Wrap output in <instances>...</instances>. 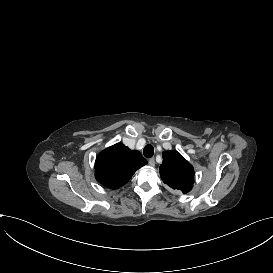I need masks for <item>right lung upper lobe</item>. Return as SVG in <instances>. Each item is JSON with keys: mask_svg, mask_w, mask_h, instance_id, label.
Listing matches in <instances>:
<instances>
[{"mask_svg": "<svg viewBox=\"0 0 273 273\" xmlns=\"http://www.w3.org/2000/svg\"><path fill=\"white\" fill-rule=\"evenodd\" d=\"M146 164L138 151L117 143L102 151L95 161V177L99 183L111 189L126 184L135 171Z\"/></svg>", "mask_w": 273, "mask_h": 273, "instance_id": "right-lung-upper-lobe-1", "label": "right lung upper lobe"}]
</instances>
